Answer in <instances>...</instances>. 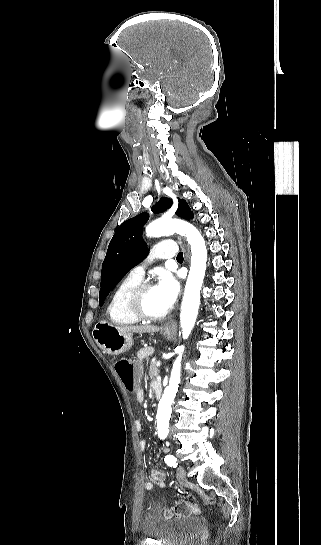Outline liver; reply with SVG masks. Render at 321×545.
Returning a JSON list of instances; mask_svg holds the SVG:
<instances>
[{
    "label": "liver",
    "instance_id": "obj_1",
    "mask_svg": "<svg viewBox=\"0 0 321 545\" xmlns=\"http://www.w3.org/2000/svg\"><path fill=\"white\" fill-rule=\"evenodd\" d=\"M121 333H158L160 327H154V325H123V327H116Z\"/></svg>",
    "mask_w": 321,
    "mask_h": 545
}]
</instances>
